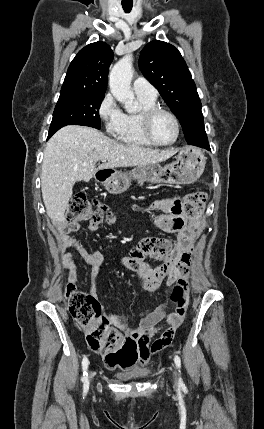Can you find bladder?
<instances>
[{
	"label": "bladder",
	"instance_id": "1",
	"mask_svg": "<svg viewBox=\"0 0 264 429\" xmlns=\"http://www.w3.org/2000/svg\"><path fill=\"white\" fill-rule=\"evenodd\" d=\"M149 374V372H135L132 374H120L118 377L122 380H136L146 378Z\"/></svg>",
	"mask_w": 264,
	"mask_h": 429
}]
</instances>
